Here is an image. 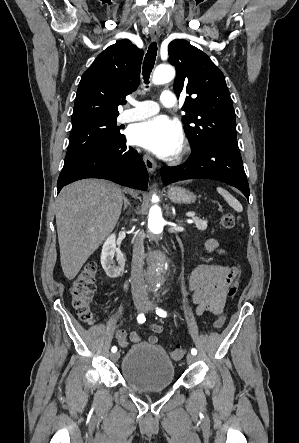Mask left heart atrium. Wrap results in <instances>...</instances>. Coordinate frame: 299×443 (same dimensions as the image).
Returning <instances> with one entry per match:
<instances>
[{
  "label": "left heart atrium",
  "mask_w": 299,
  "mask_h": 443,
  "mask_svg": "<svg viewBox=\"0 0 299 443\" xmlns=\"http://www.w3.org/2000/svg\"><path fill=\"white\" fill-rule=\"evenodd\" d=\"M130 141L157 155L176 156L183 144L181 126L166 116H157L135 125L129 133Z\"/></svg>",
  "instance_id": "left-heart-atrium-1"
}]
</instances>
